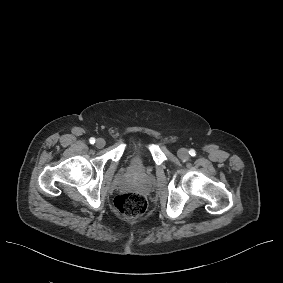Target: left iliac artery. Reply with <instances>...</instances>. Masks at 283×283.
Instances as JSON below:
<instances>
[{
	"instance_id": "left-iliac-artery-1",
	"label": "left iliac artery",
	"mask_w": 283,
	"mask_h": 283,
	"mask_svg": "<svg viewBox=\"0 0 283 283\" xmlns=\"http://www.w3.org/2000/svg\"><path fill=\"white\" fill-rule=\"evenodd\" d=\"M189 154H190L191 156H195V155H196V152H195L194 149H190Z\"/></svg>"
}]
</instances>
